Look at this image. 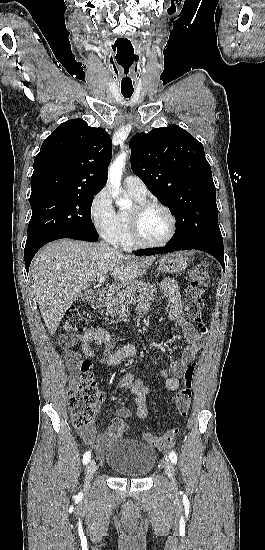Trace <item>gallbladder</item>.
<instances>
[{
	"mask_svg": "<svg viewBox=\"0 0 265 550\" xmlns=\"http://www.w3.org/2000/svg\"><path fill=\"white\" fill-rule=\"evenodd\" d=\"M93 298V293L91 291H85L78 294V299L81 302H89Z\"/></svg>",
	"mask_w": 265,
	"mask_h": 550,
	"instance_id": "bac80fb5",
	"label": "gallbladder"
}]
</instances>
